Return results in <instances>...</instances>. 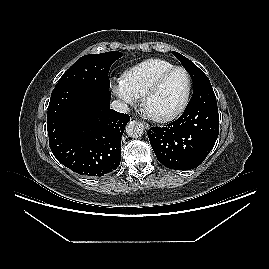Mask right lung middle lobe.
I'll return each instance as SVG.
<instances>
[{
	"instance_id": "dd1d6c3e",
	"label": "right lung middle lobe",
	"mask_w": 269,
	"mask_h": 269,
	"mask_svg": "<svg viewBox=\"0 0 269 269\" xmlns=\"http://www.w3.org/2000/svg\"><path fill=\"white\" fill-rule=\"evenodd\" d=\"M120 57L122 53L116 51L85 55L62 75L56 87L65 84H80L109 89L110 66Z\"/></svg>"
}]
</instances>
